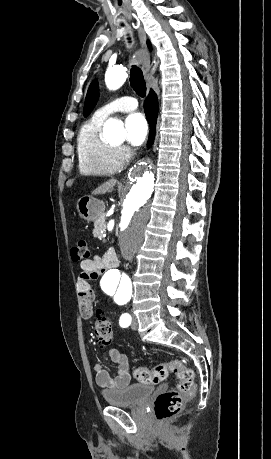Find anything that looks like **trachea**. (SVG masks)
I'll return each mask as SVG.
<instances>
[{
	"mask_svg": "<svg viewBox=\"0 0 271 459\" xmlns=\"http://www.w3.org/2000/svg\"><path fill=\"white\" fill-rule=\"evenodd\" d=\"M130 85L140 97L146 95V83L142 70L136 65H132L130 70Z\"/></svg>",
	"mask_w": 271,
	"mask_h": 459,
	"instance_id": "obj_1",
	"label": "trachea"
}]
</instances>
